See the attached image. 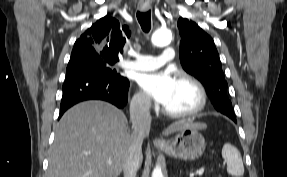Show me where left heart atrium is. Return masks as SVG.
Wrapping results in <instances>:
<instances>
[{
  "label": "left heart atrium",
  "instance_id": "39dd6f15",
  "mask_svg": "<svg viewBox=\"0 0 287 177\" xmlns=\"http://www.w3.org/2000/svg\"><path fill=\"white\" fill-rule=\"evenodd\" d=\"M176 82L177 79L169 71L144 74L139 79L142 90L160 105L166 103Z\"/></svg>",
  "mask_w": 287,
  "mask_h": 177
}]
</instances>
